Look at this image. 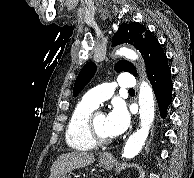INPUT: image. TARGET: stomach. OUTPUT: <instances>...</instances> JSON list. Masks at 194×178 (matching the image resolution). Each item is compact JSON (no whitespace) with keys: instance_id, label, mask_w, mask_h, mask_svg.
Wrapping results in <instances>:
<instances>
[{"instance_id":"stomach-1","label":"stomach","mask_w":194,"mask_h":178,"mask_svg":"<svg viewBox=\"0 0 194 178\" xmlns=\"http://www.w3.org/2000/svg\"><path fill=\"white\" fill-rule=\"evenodd\" d=\"M99 165L105 169H112L115 165V159L112 157V156H109V157H104V156H101L100 159H99ZM60 178H70L68 176H62Z\"/></svg>"}]
</instances>
